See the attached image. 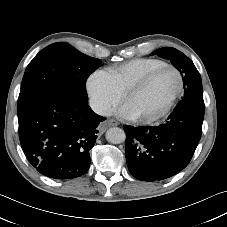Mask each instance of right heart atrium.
I'll return each mask as SVG.
<instances>
[{
	"instance_id": "right-heart-atrium-1",
	"label": "right heart atrium",
	"mask_w": 227,
	"mask_h": 227,
	"mask_svg": "<svg viewBox=\"0 0 227 227\" xmlns=\"http://www.w3.org/2000/svg\"><path fill=\"white\" fill-rule=\"evenodd\" d=\"M86 91L100 114L108 113L121 99V93L105 70L95 71L87 78Z\"/></svg>"
}]
</instances>
